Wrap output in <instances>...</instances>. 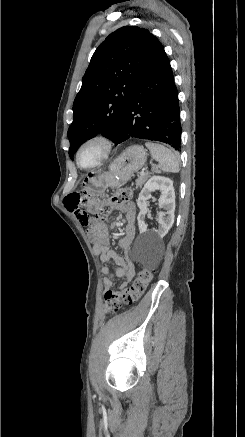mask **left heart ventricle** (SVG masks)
I'll return each mask as SVG.
<instances>
[{
	"instance_id": "obj_1",
	"label": "left heart ventricle",
	"mask_w": 245,
	"mask_h": 437,
	"mask_svg": "<svg viewBox=\"0 0 245 437\" xmlns=\"http://www.w3.org/2000/svg\"><path fill=\"white\" fill-rule=\"evenodd\" d=\"M102 153V149L98 144L86 146L80 154V162L84 166L95 163Z\"/></svg>"
}]
</instances>
